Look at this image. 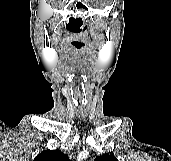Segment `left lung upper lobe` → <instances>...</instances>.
<instances>
[{
	"label": "left lung upper lobe",
	"mask_w": 171,
	"mask_h": 161,
	"mask_svg": "<svg viewBox=\"0 0 171 161\" xmlns=\"http://www.w3.org/2000/svg\"><path fill=\"white\" fill-rule=\"evenodd\" d=\"M94 161H118L113 155L104 154L97 157Z\"/></svg>",
	"instance_id": "5c2ea615"
}]
</instances>
